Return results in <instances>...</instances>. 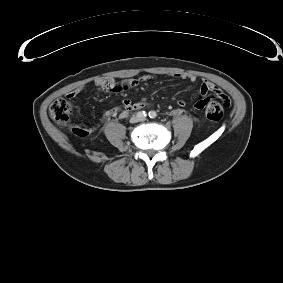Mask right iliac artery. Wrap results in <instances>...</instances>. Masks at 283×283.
Wrapping results in <instances>:
<instances>
[{
    "label": "right iliac artery",
    "mask_w": 283,
    "mask_h": 283,
    "mask_svg": "<svg viewBox=\"0 0 283 283\" xmlns=\"http://www.w3.org/2000/svg\"><path fill=\"white\" fill-rule=\"evenodd\" d=\"M147 116L146 112L145 111H139L137 113V117L139 118H145Z\"/></svg>",
    "instance_id": "1"
}]
</instances>
